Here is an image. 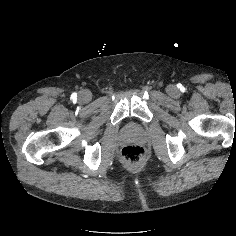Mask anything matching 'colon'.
<instances>
[{"label": "colon", "instance_id": "obj_1", "mask_svg": "<svg viewBox=\"0 0 236 236\" xmlns=\"http://www.w3.org/2000/svg\"><path fill=\"white\" fill-rule=\"evenodd\" d=\"M121 156L129 165L138 164L144 159V149L139 145H128L122 149Z\"/></svg>", "mask_w": 236, "mask_h": 236}]
</instances>
